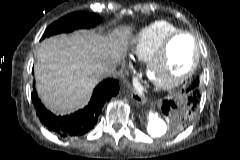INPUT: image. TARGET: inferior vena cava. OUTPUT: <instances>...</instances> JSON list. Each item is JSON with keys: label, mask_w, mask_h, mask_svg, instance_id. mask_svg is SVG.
<instances>
[{"label": "inferior vena cava", "mask_w": 240, "mask_h": 160, "mask_svg": "<svg viewBox=\"0 0 240 160\" xmlns=\"http://www.w3.org/2000/svg\"><path fill=\"white\" fill-rule=\"evenodd\" d=\"M117 74L115 66H107L101 71L102 77H115Z\"/></svg>", "instance_id": "602c4592"}]
</instances>
